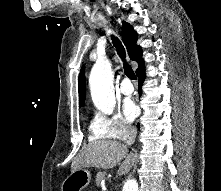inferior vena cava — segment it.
I'll return each instance as SVG.
<instances>
[{
  "mask_svg": "<svg viewBox=\"0 0 221 191\" xmlns=\"http://www.w3.org/2000/svg\"><path fill=\"white\" fill-rule=\"evenodd\" d=\"M137 135V130L134 127H128L125 133V143L128 146L134 144Z\"/></svg>",
  "mask_w": 221,
  "mask_h": 191,
  "instance_id": "1",
  "label": "inferior vena cava"
}]
</instances>
